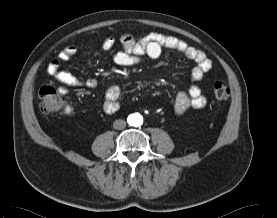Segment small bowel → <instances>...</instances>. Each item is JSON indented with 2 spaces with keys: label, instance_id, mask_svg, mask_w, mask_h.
Masks as SVG:
<instances>
[{
  "label": "small bowel",
  "instance_id": "1",
  "mask_svg": "<svg viewBox=\"0 0 277 218\" xmlns=\"http://www.w3.org/2000/svg\"><path fill=\"white\" fill-rule=\"evenodd\" d=\"M124 51L117 54V63L125 66L140 64L145 57L156 59L162 54L163 48H171L184 54L188 59L197 63L194 67L193 76L199 79L201 75L210 68V61L198 50L190 46L184 40L175 36H166L154 33L148 37L146 42L133 45L130 41H124ZM112 47L110 41H106L104 48L109 50ZM77 52V47L70 45L62 49L57 56V59L51 61L47 66V72L55 76L59 81L65 84L73 82V76L70 73L62 72L60 65L68 61ZM87 84L94 87L98 84L97 79L91 78ZM117 95V90L110 91V98L113 99ZM177 101L180 105L188 103L203 104L205 98L201 94L200 87L197 84H192L189 92H182L178 95Z\"/></svg>",
  "mask_w": 277,
  "mask_h": 218
}]
</instances>
